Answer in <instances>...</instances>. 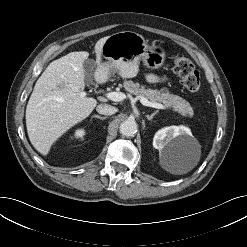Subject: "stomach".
Instances as JSON below:
<instances>
[{"instance_id":"1","label":"stomach","mask_w":247,"mask_h":247,"mask_svg":"<svg viewBox=\"0 0 247 247\" xmlns=\"http://www.w3.org/2000/svg\"><path fill=\"white\" fill-rule=\"evenodd\" d=\"M102 55L106 61L97 69V75L104 78L111 70L123 78H132L138 73L140 61L149 69H158L166 58L163 48L149 46L142 35L132 31L108 36Z\"/></svg>"}]
</instances>
